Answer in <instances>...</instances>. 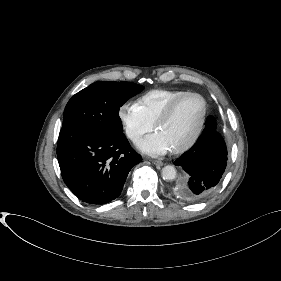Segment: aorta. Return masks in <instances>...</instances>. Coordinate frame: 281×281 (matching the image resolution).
Instances as JSON below:
<instances>
[{
	"label": "aorta",
	"instance_id": "aorta-1",
	"mask_svg": "<svg viewBox=\"0 0 281 281\" xmlns=\"http://www.w3.org/2000/svg\"><path fill=\"white\" fill-rule=\"evenodd\" d=\"M176 173V169L171 165L162 168V177L164 180H174L176 178Z\"/></svg>",
	"mask_w": 281,
	"mask_h": 281
}]
</instances>
